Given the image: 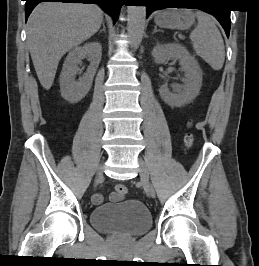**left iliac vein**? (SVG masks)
<instances>
[{
    "instance_id": "obj_1",
    "label": "left iliac vein",
    "mask_w": 259,
    "mask_h": 266,
    "mask_svg": "<svg viewBox=\"0 0 259 266\" xmlns=\"http://www.w3.org/2000/svg\"><path fill=\"white\" fill-rule=\"evenodd\" d=\"M139 174H140V180H141V184L145 190V192L147 193L148 196L150 197H154L152 196L151 190H149V172L147 169V166L145 164V162L142 159H139Z\"/></svg>"
}]
</instances>
